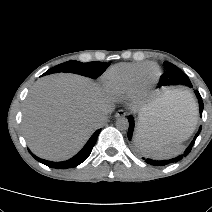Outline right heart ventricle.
I'll use <instances>...</instances> for the list:
<instances>
[{"instance_id":"obj_1","label":"right heart ventricle","mask_w":212,"mask_h":212,"mask_svg":"<svg viewBox=\"0 0 212 212\" xmlns=\"http://www.w3.org/2000/svg\"><path fill=\"white\" fill-rule=\"evenodd\" d=\"M158 67L152 63H122L111 67L103 76L106 89L114 95L134 92L140 86L142 73L155 76Z\"/></svg>"}]
</instances>
